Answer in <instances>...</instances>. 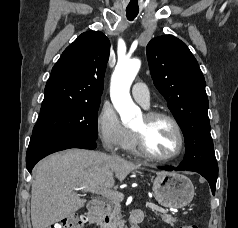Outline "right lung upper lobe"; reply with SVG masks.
Listing matches in <instances>:
<instances>
[{"mask_svg": "<svg viewBox=\"0 0 238 228\" xmlns=\"http://www.w3.org/2000/svg\"><path fill=\"white\" fill-rule=\"evenodd\" d=\"M109 53L110 42L102 32L82 33L52 68L40 115L71 105L100 103Z\"/></svg>", "mask_w": 238, "mask_h": 228, "instance_id": "1", "label": "right lung upper lobe"}]
</instances>
